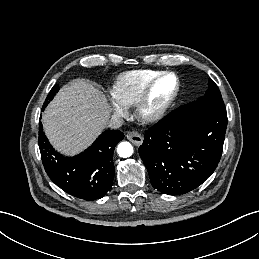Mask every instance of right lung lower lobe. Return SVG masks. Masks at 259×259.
<instances>
[{
  "instance_id": "right-lung-lower-lobe-1",
  "label": "right lung lower lobe",
  "mask_w": 259,
  "mask_h": 259,
  "mask_svg": "<svg viewBox=\"0 0 259 259\" xmlns=\"http://www.w3.org/2000/svg\"><path fill=\"white\" fill-rule=\"evenodd\" d=\"M124 134L119 130L105 131L85 152L72 158L55 151L39 123V148L49 178L66 193L84 200L102 198L113 184L114 148Z\"/></svg>"
}]
</instances>
